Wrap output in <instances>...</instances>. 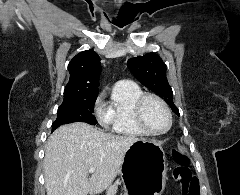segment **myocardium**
I'll return each instance as SVG.
<instances>
[{
  "mask_svg": "<svg viewBox=\"0 0 240 195\" xmlns=\"http://www.w3.org/2000/svg\"><path fill=\"white\" fill-rule=\"evenodd\" d=\"M148 100H154L162 107V109L166 115V118H167V125L163 130L155 131L147 125L145 118H144V106ZM135 119H136V122L139 125V127L146 134L152 135V136L163 135V134L167 133L172 126V114H171V111H170L168 105L162 98H160L159 96L152 94V93H143L142 95H140L137 98L136 103H135Z\"/></svg>",
  "mask_w": 240,
  "mask_h": 195,
  "instance_id": "obj_1",
  "label": "myocardium"
}]
</instances>
